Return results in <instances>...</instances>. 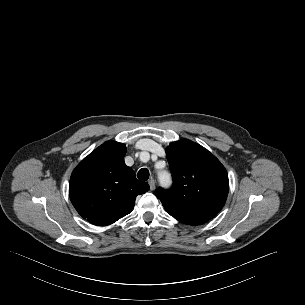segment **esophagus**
Instances as JSON below:
<instances>
[{
	"label": "esophagus",
	"mask_w": 305,
	"mask_h": 305,
	"mask_svg": "<svg viewBox=\"0 0 305 305\" xmlns=\"http://www.w3.org/2000/svg\"><path fill=\"white\" fill-rule=\"evenodd\" d=\"M148 184L150 186V190L153 191L155 189V181L151 179L148 181Z\"/></svg>",
	"instance_id": "obj_1"
}]
</instances>
